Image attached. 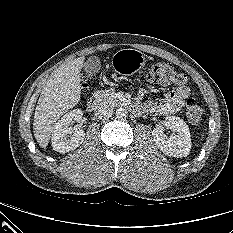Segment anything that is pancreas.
Listing matches in <instances>:
<instances>
[{"mask_svg": "<svg viewBox=\"0 0 233 233\" xmlns=\"http://www.w3.org/2000/svg\"><path fill=\"white\" fill-rule=\"evenodd\" d=\"M94 96L98 100L111 105H115L118 102L117 94L111 90H98L94 93Z\"/></svg>", "mask_w": 233, "mask_h": 233, "instance_id": "pancreas-1", "label": "pancreas"}]
</instances>
